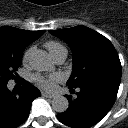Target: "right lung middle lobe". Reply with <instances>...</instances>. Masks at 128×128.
<instances>
[{
  "label": "right lung middle lobe",
  "instance_id": "right-lung-middle-lobe-1",
  "mask_svg": "<svg viewBox=\"0 0 128 128\" xmlns=\"http://www.w3.org/2000/svg\"><path fill=\"white\" fill-rule=\"evenodd\" d=\"M23 50L0 45V83H7L18 75L15 71L21 65Z\"/></svg>",
  "mask_w": 128,
  "mask_h": 128
}]
</instances>
